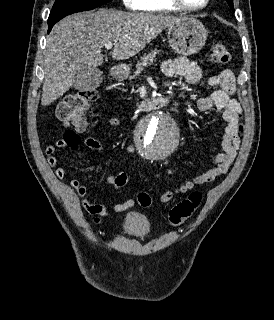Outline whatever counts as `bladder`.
<instances>
[{
    "instance_id": "bladder-1",
    "label": "bladder",
    "mask_w": 274,
    "mask_h": 320,
    "mask_svg": "<svg viewBox=\"0 0 274 320\" xmlns=\"http://www.w3.org/2000/svg\"><path fill=\"white\" fill-rule=\"evenodd\" d=\"M123 230L129 236L141 237L150 231V223L144 215L130 213L125 218Z\"/></svg>"
}]
</instances>
